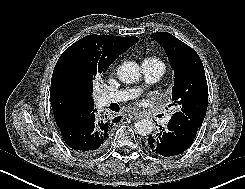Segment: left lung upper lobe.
Returning <instances> with one entry per match:
<instances>
[{
    "instance_id": "1",
    "label": "left lung upper lobe",
    "mask_w": 245,
    "mask_h": 189,
    "mask_svg": "<svg viewBox=\"0 0 245 189\" xmlns=\"http://www.w3.org/2000/svg\"><path fill=\"white\" fill-rule=\"evenodd\" d=\"M160 42L174 70L173 104L179 111L171 119L191 122L200 127L208 105V87L204 67L198 54L170 33H152Z\"/></svg>"
}]
</instances>
